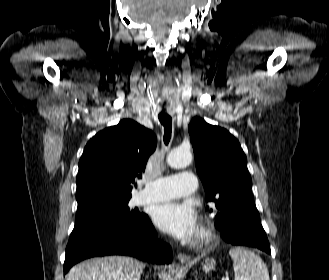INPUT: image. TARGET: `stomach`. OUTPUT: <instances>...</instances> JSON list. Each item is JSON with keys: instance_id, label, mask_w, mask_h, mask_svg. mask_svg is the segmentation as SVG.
<instances>
[{"instance_id": "obj_1", "label": "stomach", "mask_w": 329, "mask_h": 280, "mask_svg": "<svg viewBox=\"0 0 329 280\" xmlns=\"http://www.w3.org/2000/svg\"><path fill=\"white\" fill-rule=\"evenodd\" d=\"M215 265H216V263L213 259H205L202 262V269L205 272H210L215 268Z\"/></svg>"}]
</instances>
